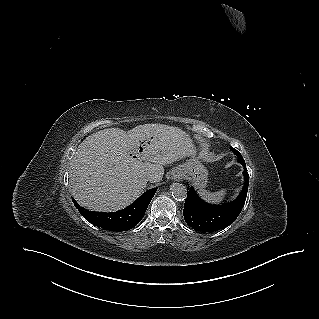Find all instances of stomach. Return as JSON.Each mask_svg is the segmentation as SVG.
I'll use <instances>...</instances> for the list:
<instances>
[{
    "label": "stomach",
    "mask_w": 319,
    "mask_h": 319,
    "mask_svg": "<svg viewBox=\"0 0 319 319\" xmlns=\"http://www.w3.org/2000/svg\"><path fill=\"white\" fill-rule=\"evenodd\" d=\"M176 170L180 177L192 180L197 189H203L208 182V171L199 159L190 156L186 163L179 165Z\"/></svg>",
    "instance_id": "0dacf381"
}]
</instances>
